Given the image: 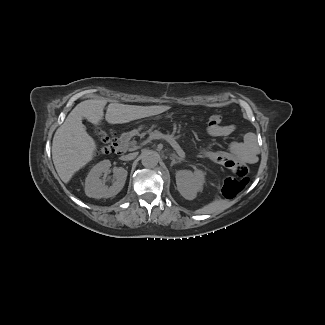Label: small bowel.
<instances>
[{
  "instance_id": "1",
  "label": "small bowel",
  "mask_w": 325,
  "mask_h": 325,
  "mask_svg": "<svg viewBox=\"0 0 325 325\" xmlns=\"http://www.w3.org/2000/svg\"><path fill=\"white\" fill-rule=\"evenodd\" d=\"M235 130L236 126L234 124H218L212 126L208 123L206 126L207 134L212 137H228L232 135ZM208 157L218 164L228 166L234 164V161L252 162L255 155L248 150L242 142L238 141L231 143L227 152L209 153Z\"/></svg>"
}]
</instances>
